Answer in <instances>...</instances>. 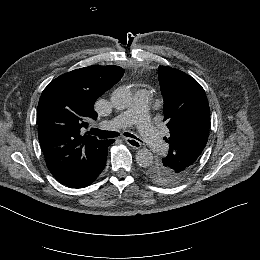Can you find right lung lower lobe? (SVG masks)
<instances>
[{
  "mask_svg": "<svg viewBox=\"0 0 260 260\" xmlns=\"http://www.w3.org/2000/svg\"><path fill=\"white\" fill-rule=\"evenodd\" d=\"M114 140H111L109 145ZM108 145V146H109ZM107 146V148H108ZM107 148L106 152L102 159L99 161L91 164L86 171L79 173V174H72L70 176H67L63 179L58 180L60 183H62L65 186L71 187V188H83L87 187L90 184H92L99 176V174L102 172V170L105 167L106 160H107Z\"/></svg>",
  "mask_w": 260,
  "mask_h": 260,
  "instance_id": "obj_1",
  "label": "right lung lower lobe"
}]
</instances>
